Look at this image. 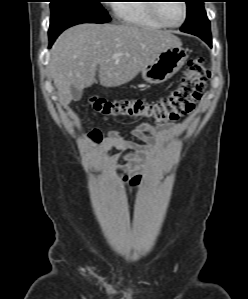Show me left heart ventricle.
<instances>
[{
    "mask_svg": "<svg viewBox=\"0 0 248 299\" xmlns=\"http://www.w3.org/2000/svg\"><path fill=\"white\" fill-rule=\"evenodd\" d=\"M159 11L162 17L170 24L179 23L183 17L181 1H167L161 3Z\"/></svg>",
    "mask_w": 248,
    "mask_h": 299,
    "instance_id": "1",
    "label": "left heart ventricle"
}]
</instances>
